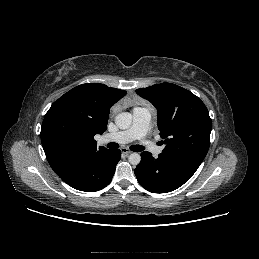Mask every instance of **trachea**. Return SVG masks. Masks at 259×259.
Instances as JSON below:
<instances>
[{
    "label": "trachea",
    "mask_w": 259,
    "mask_h": 259,
    "mask_svg": "<svg viewBox=\"0 0 259 259\" xmlns=\"http://www.w3.org/2000/svg\"><path fill=\"white\" fill-rule=\"evenodd\" d=\"M106 146L110 149H117L119 147L117 143H108ZM130 149L134 152H141L144 150V147L141 145H132Z\"/></svg>",
    "instance_id": "1"
}]
</instances>
